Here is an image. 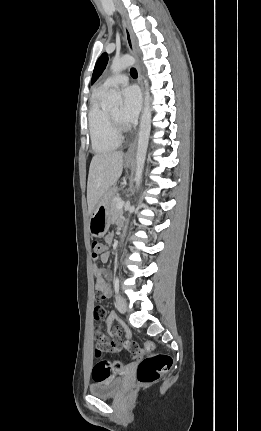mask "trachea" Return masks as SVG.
Returning a JSON list of instances; mask_svg holds the SVG:
<instances>
[{"mask_svg":"<svg viewBox=\"0 0 261 431\" xmlns=\"http://www.w3.org/2000/svg\"><path fill=\"white\" fill-rule=\"evenodd\" d=\"M130 74H131L132 77L136 78L137 77V71H136V69L135 68H131Z\"/></svg>","mask_w":261,"mask_h":431,"instance_id":"1","label":"trachea"}]
</instances>
